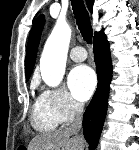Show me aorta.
Masks as SVG:
<instances>
[{
  "mask_svg": "<svg viewBox=\"0 0 139 150\" xmlns=\"http://www.w3.org/2000/svg\"><path fill=\"white\" fill-rule=\"evenodd\" d=\"M70 39V26L65 21H57L40 59L41 76L49 86H58L63 79Z\"/></svg>",
  "mask_w": 139,
  "mask_h": 150,
  "instance_id": "762f6f07",
  "label": "aorta"
}]
</instances>
